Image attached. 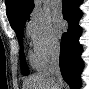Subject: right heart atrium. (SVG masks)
<instances>
[{"label": "right heart atrium", "mask_w": 89, "mask_h": 89, "mask_svg": "<svg viewBox=\"0 0 89 89\" xmlns=\"http://www.w3.org/2000/svg\"><path fill=\"white\" fill-rule=\"evenodd\" d=\"M34 54L46 64L59 49V38L54 31L50 19L41 13H33L27 24Z\"/></svg>", "instance_id": "1"}]
</instances>
